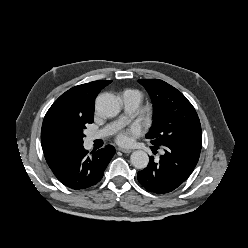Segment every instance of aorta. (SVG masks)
I'll return each mask as SVG.
<instances>
[{
	"instance_id": "1",
	"label": "aorta",
	"mask_w": 248,
	"mask_h": 248,
	"mask_svg": "<svg viewBox=\"0 0 248 248\" xmlns=\"http://www.w3.org/2000/svg\"><path fill=\"white\" fill-rule=\"evenodd\" d=\"M119 100L111 94H101L96 98L95 109L103 117H114L120 112ZM131 164L137 169H144L149 163V157L142 150L134 151L130 156Z\"/></svg>"
}]
</instances>
